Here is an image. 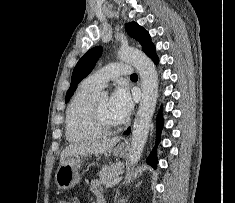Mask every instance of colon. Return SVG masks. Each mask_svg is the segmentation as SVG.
Instances as JSON below:
<instances>
[{
	"label": "colon",
	"mask_w": 235,
	"mask_h": 203,
	"mask_svg": "<svg viewBox=\"0 0 235 203\" xmlns=\"http://www.w3.org/2000/svg\"><path fill=\"white\" fill-rule=\"evenodd\" d=\"M58 203H79L78 199L72 196L62 198Z\"/></svg>",
	"instance_id": "colon-1"
}]
</instances>
